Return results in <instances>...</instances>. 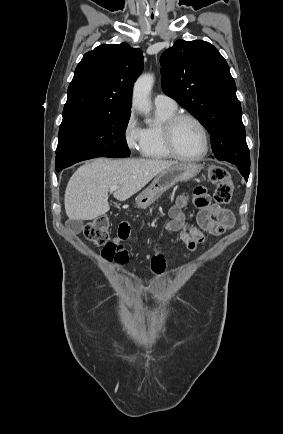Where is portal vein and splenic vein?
Returning <instances> with one entry per match:
<instances>
[{
  "instance_id": "1",
  "label": "portal vein and splenic vein",
  "mask_w": 283,
  "mask_h": 434,
  "mask_svg": "<svg viewBox=\"0 0 283 434\" xmlns=\"http://www.w3.org/2000/svg\"><path fill=\"white\" fill-rule=\"evenodd\" d=\"M117 189H118V186H117V185H113V186L110 187V191H111V192H113V191H115V190H117Z\"/></svg>"
}]
</instances>
